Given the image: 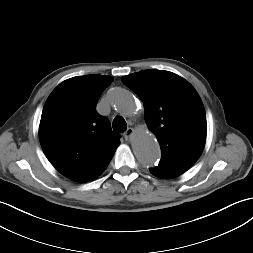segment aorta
<instances>
[{"instance_id":"aorta-1","label":"aorta","mask_w":253,"mask_h":253,"mask_svg":"<svg viewBox=\"0 0 253 253\" xmlns=\"http://www.w3.org/2000/svg\"><path fill=\"white\" fill-rule=\"evenodd\" d=\"M109 102L112 108L122 115L130 116L135 111L134 96L126 89H112L109 92ZM133 149L136 157L144 166H153L160 158L159 144L146 127L136 130Z\"/></svg>"}]
</instances>
